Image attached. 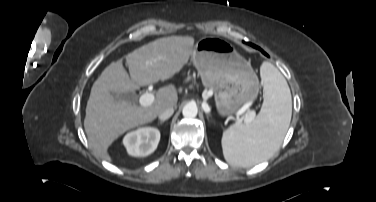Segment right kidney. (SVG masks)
I'll use <instances>...</instances> for the list:
<instances>
[{
  "instance_id": "obj_1",
  "label": "right kidney",
  "mask_w": 376,
  "mask_h": 202,
  "mask_svg": "<svg viewBox=\"0 0 376 202\" xmlns=\"http://www.w3.org/2000/svg\"><path fill=\"white\" fill-rule=\"evenodd\" d=\"M160 140L157 128L141 127L127 133L123 143L131 156L145 157L155 151Z\"/></svg>"
}]
</instances>
